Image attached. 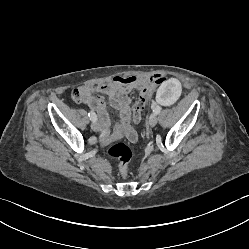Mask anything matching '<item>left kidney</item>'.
<instances>
[{"instance_id":"5707ae66","label":"left kidney","mask_w":249,"mask_h":249,"mask_svg":"<svg viewBox=\"0 0 249 249\" xmlns=\"http://www.w3.org/2000/svg\"><path fill=\"white\" fill-rule=\"evenodd\" d=\"M183 82L179 76H172L161 82L160 88L155 91V102L158 106L172 105L182 97Z\"/></svg>"}]
</instances>
